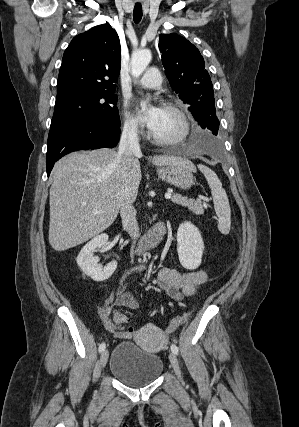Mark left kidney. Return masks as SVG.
Wrapping results in <instances>:
<instances>
[{"mask_svg":"<svg viewBox=\"0 0 299 427\" xmlns=\"http://www.w3.org/2000/svg\"><path fill=\"white\" fill-rule=\"evenodd\" d=\"M203 251L204 242L199 229L190 222L180 224L177 231V252L181 265L188 270L198 268Z\"/></svg>","mask_w":299,"mask_h":427,"instance_id":"1","label":"left kidney"}]
</instances>
